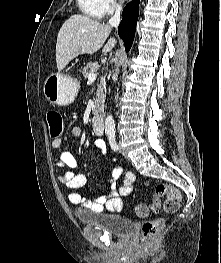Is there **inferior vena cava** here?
<instances>
[{
    "label": "inferior vena cava",
    "mask_w": 221,
    "mask_h": 263,
    "mask_svg": "<svg viewBox=\"0 0 221 263\" xmlns=\"http://www.w3.org/2000/svg\"><path fill=\"white\" fill-rule=\"evenodd\" d=\"M121 10H122V6L121 5H117L115 14L109 19L108 25L110 27H117L120 23L121 20Z\"/></svg>",
    "instance_id": "obj_1"
}]
</instances>
